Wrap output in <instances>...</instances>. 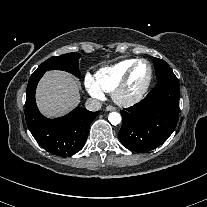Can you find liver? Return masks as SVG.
<instances>
[{
	"instance_id": "6515ba94",
	"label": "liver",
	"mask_w": 207,
	"mask_h": 207,
	"mask_svg": "<svg viewBox=\"0 0 207 207\" xmlns=\"http://www.w3.org/2000/svg\"><path fill=\"white\" fill-rule=\"evenodd\" d=\"M36 103L43 115L62 116L80 103V84L65 71H47L38 84Z\"/></svg>"
}]
</instances>
